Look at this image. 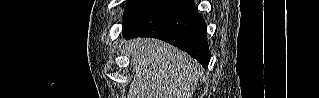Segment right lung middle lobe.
Wrapping results in <instances>:
<instances>
[{
	"mask_svg": "<svg viewBox=\"0 0 319 98\" xmlns=\"http://www.w3.org/2000/svg\"><path fill=\"white\" fill-rule=\"evenodd\" d=\"M149 1L150 0H131L127 5L123 19L125 20L126 18L131 16L133 13L146 5Z\"/></svg>",
	"mask_w": 319,
	"mask_h": 98,
	"instance_id": "1",
	"label": "right lung middle lobe"
}]
</instances>
